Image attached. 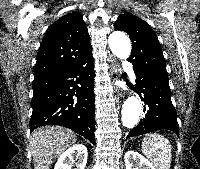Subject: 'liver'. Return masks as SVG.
Listing matches in <instances>:
<instances>
[{"label": "liver", "instance_id": "liver-1", "mask_svg": "<svg viewBox=\"0 0 200 169\" xmlns=\"http://www.w3.org/2000/svg\"><path fill=\"white\" fill-rule=\"evenodd\" d=\"M34 169H50L53 160L76 142V134L61 126H45L31 134Z\"/></svg>", "mask_w": 200, "mask_h": 169}]
</instances>
